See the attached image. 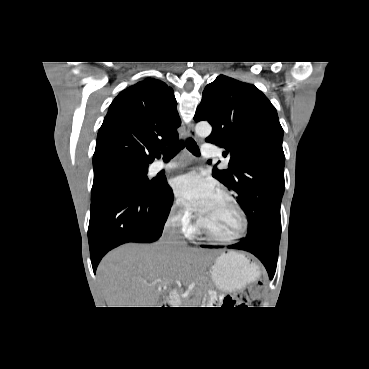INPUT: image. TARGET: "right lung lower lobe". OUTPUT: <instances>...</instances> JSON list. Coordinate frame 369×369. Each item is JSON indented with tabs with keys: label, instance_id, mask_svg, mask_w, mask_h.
I'll list each match as a JSON object with an SVG mask.
<instances>
[{
	"label": "right lung lower lobe",
	"instance_id": "1",
	"mask_svg": "<svg viewBox=\"0 0 369 369\" xmlns=\"http://www.w3.org/2000/svg\"><path fill=\"white\" fill-rule=\"evenodd\" d=\"M173 198L165 177L153 189L124 181L92 198L88 240L94 273L102 257L111 249L127 242L158 240Z\"/></svg>",
	"mask_w": 369,
	"mask_h": 369
}]
</instances>
